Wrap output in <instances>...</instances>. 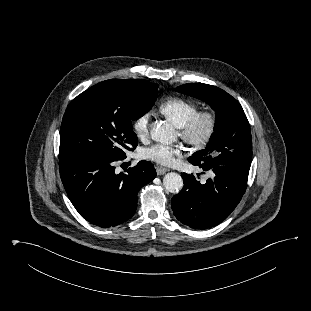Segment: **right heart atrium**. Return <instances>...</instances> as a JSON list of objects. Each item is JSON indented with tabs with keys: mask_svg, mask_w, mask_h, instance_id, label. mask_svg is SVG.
<instances>
[{
	"mask_svg": "<svg viewBox=\"0 0 311 311\" xmlns=\"http://www.w3.org/2000/svg\"><path fill=\"white\" fill-rule=\"evenodd\" d=\"M132 129L139 139H144L149 134V114L143 113L136 117L132 123Z\"/></svg>",
	"mask_w": 311,
	"mask_h": 311,
	"instance_id": "obj_1",
	"label": "right heart atrium"
}]
</instances>
